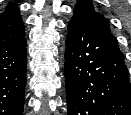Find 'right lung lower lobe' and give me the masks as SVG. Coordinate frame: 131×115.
Wrapping results in <instances>:
<instances>
[{"instance_id":"obj_1","label":"right lung lower lobe","mask_w":131,"mask_h":115,"mask_svg":"<svg viewBox=\"0 0 131 115\" xmlns=\"http://www.w3.org/2000/svg\"><path fill=\"white\" fill-rule=\"evenodd\" d=\"M26 38L0 47V115H22L26 85Z\"/></svg>"}]
</instances>
